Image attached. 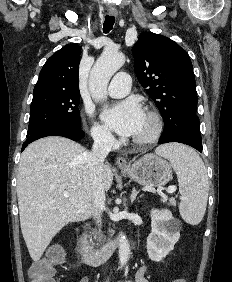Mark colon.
<instances>
[{
	"label": "colon",
	"mask_w": 232,
	"mask_h": 282,
	"mask_svg": "<svg viewBox=\"0 0 232 282\" xmlns=\"http://www.w3.org/2000/svg\"><path fill=\"white\" fill-rule=\"evenodd\" d=\"M63 260V253L55 250L47 258L35 261L29 271L30 282H55V266ZM173 282H186L184 279H176Z\"/></svg>",
	"instance_id": "obj_1"
}]
</instances>
